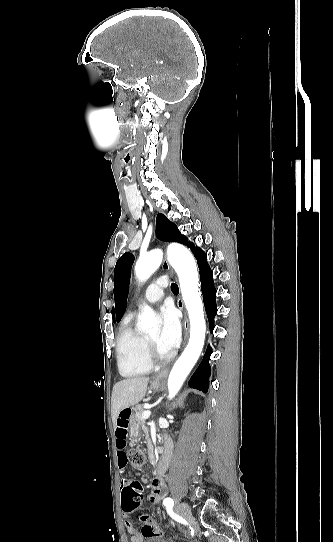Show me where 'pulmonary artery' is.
Returning <instances> with one entry per match:
<instances>
[{"instance_id": "obj_1", "label": "pulmonary artery", "mask_w": 333, "mask_h": 542, "mask_svg": "<svg viewBox=\"0 0 333 542\" xmlns=\"http://www.w3.org/2000/svg\"><path fill=\"white\" fill-rule=\"evenodd\" d=\"M164 276L167 278L169 275L166 273ZM156 281H157L155 283L156 285L152 284L149 286L148 289H146L143 295V302L148 303V304H155L157 302H160L163 299L164 292L163 291L159 292L160 290L159 285L161 284L160 282L163 281V276L157 275ZM167 284L170 286L172 283L169 281ZM138 307H140V305Z\"/></svg>"}]
</instances>
